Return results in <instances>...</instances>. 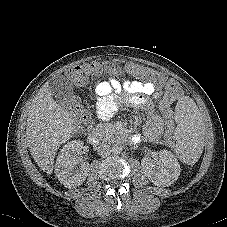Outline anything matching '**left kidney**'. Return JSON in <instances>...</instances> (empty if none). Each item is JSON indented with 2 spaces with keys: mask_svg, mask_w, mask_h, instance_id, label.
Here are the masks:
<instances>
[{
  "mask_svg": "<svg viewBox=\"0 0 227 227\" xmlns=\"http://www.w3.org/2000/svg\"><path fill=\"white\" fill-rule=\"evenodd\" d=\"M159 160L155 164L153 160H144V174L156 186H170L174 183L181 172L177 158L172 152L161 150Z\"/></svg>",
  "mask_w": 227,
  "mask_h": 227,
  "instance_id": "5707ae66",
  "label": "left kidney"
}]
</instances>
